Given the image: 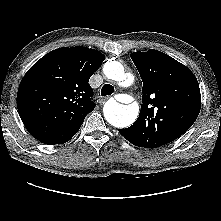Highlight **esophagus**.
<instances>
[{
    "label": "esophagus",
    "mask_w": 221,
    "mask_h": 221,
    "mask_svg": "<svg viewBox=\"0 0 221 221\" xmlns=\"http://www.w3.org/2000/svg\"><path fill=\"white\" fill-rule=\"evenodd\" d=\"M107 99H108V97H99L98 102L99 103H104Z\"/></svg>",
    "instance_id": "1"
}]
</instances>
